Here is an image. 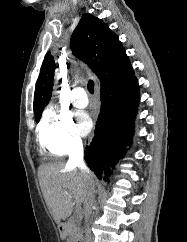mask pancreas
I'll return each instance as SVG.
<instances>
[{
    "label": "pancreas",
    "mask_w": 187,
    "mask_h": 242,
    "mask_svg": "<svg viewBox=\"0 0 187 242\" xmlns=\"http://www.w3.org/2000/svg\"><path fill=\"white\" fill-rule=\"evenodd\" d=\"M81 239L79 219L74 217L68 222L67 242H78Z\"/></svg>",
    "instance_id": "pancreas-1"
}]
</instances>
